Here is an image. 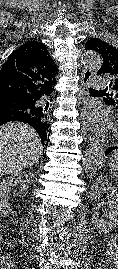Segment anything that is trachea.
Listing matches in <instances>:
<instances>
[{
	"instance_id": "3493384b",
	"label": "trachea",
	"mask_w": 118,
	"mask_h": 269,
	"mask_svg": "<svg viewBox=\"0 0 118 269\" xmlns=\"http://www.w3.org/2000/svg\"><path fill=\"white\" fill-rule=\"evenodd\" d=\"M89 92L92 93V92H101V90H95V89H92V88H89Z\"/></svg>"
}]
</instances>
